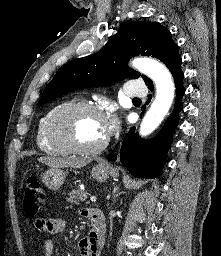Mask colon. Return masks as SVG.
Listing matches in <instances>:
<instances>
[{
    "mask_svg": "<svg viewBox=\"0 0 221 256\" xmlns=\"http://www.w3.org/2000/svg\"><path fill=\"white\" fill-rule=\"evenodd\" d=\"M45 192L37 177L30 176L25 184L23 208L27 217L34 219L45 204Z\"/></svg>",
    "mask_w": 221,
    "mask_h": 256,
    "instance_id": "5ec220e1",
    "label": "colon"
}]
</instances>
